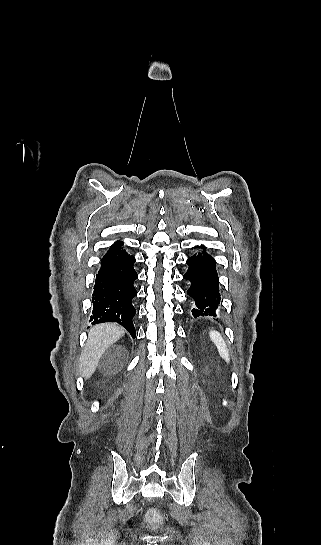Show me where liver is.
<instances>
[{"mask_svg": "<svg viewBox=\"0 0 321 545\" xmlns=\"http://www.w3.org/2000/svg\"><path fill=\"white\" fill-rule=\"evenodd\" d=\"M124 333L123 327L111 325V323H103V325H96L90 329L78 367L79 373L84 379H90L91 375L95 373L102 355L111 345L119 341Z\"/></svg>", "mask_w": 321, "mask_h": 545, "instance_id": "1", "label": "liver"}]
</instances>
